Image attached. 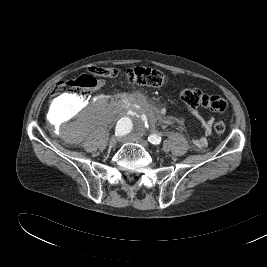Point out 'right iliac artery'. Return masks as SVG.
Returning a JSON list of instances; mask_svg holds the SVG:
<instances>
[{
  "mask_svg": "<svg viewBox=\"0 0 267 267\" xmlns=\"http://www.w3.org/2000/svg\"><path fill=\"white\" fill-rule=\"evenodd\" d=\"M128 126H129L128 120L125 119L123 121H119L115 130L116 136H123L124 134H126L128 132Z\"/></svg>",
  "mask_w": 267,
  "mask_h": 267,
  "instance_id": "right-iliac-artery-1",
  "label": "right iliac artery"
}]
</instances>
